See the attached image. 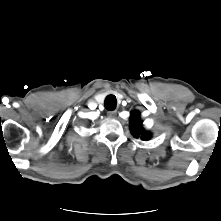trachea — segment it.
I'll use <instances>...</instances> for the list:
<instances>
[{
	"mask_svg": "<svg viewBox=\"0 0 221 221\" xmlns=\"http://www.w3.org/2000/svg\"><path fill=\"white\" fill-rule=\"evenodd\" d=\"M116 105H117V100L114 95H108L105 98L104 106L108 111H113L114 109H116Z\"/></svg>",
	"mask_w": 221,
	"mask_h": 221,
	"instance_id": "3493384b",
	"label": "trachea"
}]
</instances>
